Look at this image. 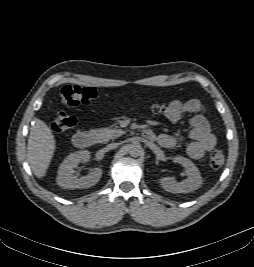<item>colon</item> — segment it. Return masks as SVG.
Wrapping results in <instances>:
<instances>
[{"label": "colon", "mask_w": 254, "mask_h": 267, "mask_svg": "<svg viewBox=\"0 0 254 267\" xmlns=\"http://www.w3.org/2000/svg\"><path fill=\"white\" fill-rule=\"evenodd\" d=\"M60 97L62 103L67 108H73L80 104L88 105L97 98V91L92 87H80L76 85H67L61 89ZM168 105L162 103H154L150 109L155 113L165 112ZM76 125L75 117L65 112H57L53 118L51 128L55 133H63ZM225 162L224 154L215 150L210 154L209 165L212 169H220Z\"/></svg>", "instance_id": "5ec220e1"}]
</instances>
